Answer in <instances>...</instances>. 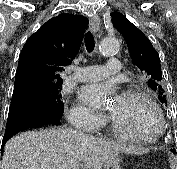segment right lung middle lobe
<instances>
[{
  "label": "right lung middle lobe",
  "instance_id": "1",
  "mask_svg": "<svg viewBox=\"0 0 177 169\" xmlns=\"http://www.w3.org/2000/svg\"><path fill=\"white\" fill-rule=\"evenodd\" d=\"M61 84L28 82L18 94L12 96L11 104L30 102L51 109L62 111V95L59 91Z\"/></svg>",
  "mask_w": 177,
  "mask_h": 169
}]
</instances>
